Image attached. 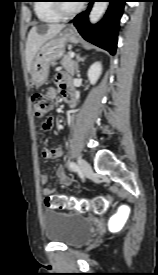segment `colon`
<instances>
[{"label":"colon","instance_id":"5ec220e1","mask_svg":"<svg viewBox=\"0 0 158 275\" xmlns=\"http://www.w3.org/2000/svg\"><path fill=\"white\" fill-rule=\"evenodd\" d=\"M35 117L41 119L47 115L51 108V98L42 93H35L32 96ZM45 206L49 209H74L81 213L93 212L102 214L107 210L110 203L109 196H98L93 199H77L72 196L50 195L44 200Z\"/></svg>","mask_w":158,"mask_h":275}]
</instances>
